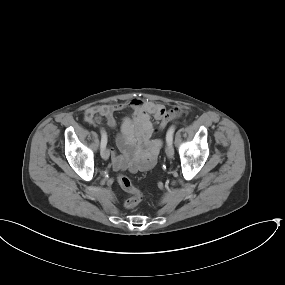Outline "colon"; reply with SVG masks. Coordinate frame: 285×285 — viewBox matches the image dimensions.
<instances>
[{"label": "colon", "mask_w": 285, "mask_h": 285, "mask_svg": "<svg viewBox=\"0 0 285 285\" xmlns=\"http://www.w3.org/2000/svg\"><path fill=\"white\" fill-rule=\"evenodd\" d=\"M157 114L160 118L157 120L159 127H164L169 121L178 118L181 114V108L179 106H174L168 110L164 107H159L157 109ZM119 186L131 194V197L126 200L125 207L127 209H132L142 200L141 191L136 188L130 178L124 174L120 173L117 177Z\"/></svg>", "instance_id": "obj_1"}]
</instances>
